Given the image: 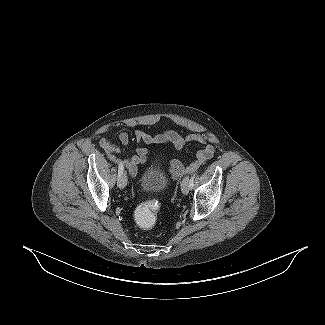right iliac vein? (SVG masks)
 Masks as SVG:
<instances>
[{
	"label": "right iliac vein",
	"instance_id": "right-iliac-vein-1",
	"mask_svg": "<svg viewBox=\"0 0 325 325\" xmlns=\"http://www.w3.org/2000/svg\"><path fill=\"white\" fill-rule=\"evenodd\" d=\"M127 185V176L126 173L122 174L118 179V187L124 189Z\"/></svg>",
	"mask_w": 325,
	"mask_h": 325
}]
</instances>
